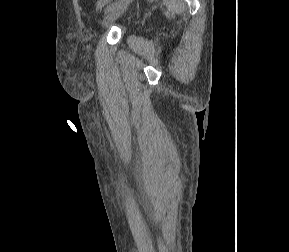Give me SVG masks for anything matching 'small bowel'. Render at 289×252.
<instances>
[{
	"instance_id": "1",
	"label": "small bowel",
	"mask_w": 289,
	"mask_h": 252,
	"mask_svg": "<svg viewBox=\"0 0 289 252\" xmlns=\"http://www.w3.org/2000/svg\"><path fill=\"white\" fill-rule=\"evenodd\" d=\"M112 0H95V9L96 10H100L102 8H104L106 5H108L109 3H111Z\"/></svg>"
}]
</instances>
